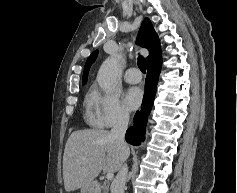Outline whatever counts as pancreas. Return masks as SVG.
Listing matches in <instances>:
<instances>
[{
  "instance_id": "1",
  "label": "pancreas",
  "mask_w": 237,
  "mask_h": 193,
  "mask_svg": "<svg viewBox=\"0 0 237 193\" xmlns=\"http://www.w3.org/2000/svg\"><path fill=\"white\" fill-rule=\"evenodd\" d=\"M103 190H104V193H108V190H109V184L108 183H104L103 186H102Z\"/></svg>"
}]
</instances>
